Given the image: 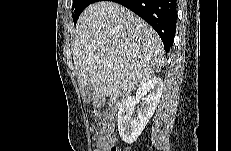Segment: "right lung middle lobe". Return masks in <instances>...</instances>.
I'll return each mask as SVG.
<instances>
[{
  "label": "right lung middle lobe",
  "instance_id": "1",
  "mask_svg": "<svg viewBox=\"0 0 231 151\" xmlns=\"http://www.w3.org/2000/svg\"><path fill=\"white\" fill-rule=\"evenodd\" d=\"M94 1L95 0H73L72 15L74 24H76L82 11Z\"/></svg>",
  "mask_w": 231,
  "mask_h": 151
}]
</instances>
